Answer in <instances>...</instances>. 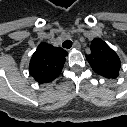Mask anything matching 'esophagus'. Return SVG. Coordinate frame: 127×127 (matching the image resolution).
Returning a JSON list of instances; mask_svg holds the SVG:
<instances>
[{
  "instance_id": "34e87169",
  "label": "esophagus",
  "mask_w": 127,
  "mask_h": 127,
  "mask_svg": "<svg viewBox=\"0 0 127 127\" xmlns=\"http://www.w3.org/2000/svg\"><path fill=\"white\" fill-rule=\"evenodd\" d=\"M73 46L79 47V42H78V41H75V42L73 43Z\"/></svg>"
}]
</instances>
